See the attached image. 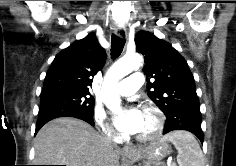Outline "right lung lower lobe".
Returning <instances> with one entry per match:
<instances>
[{
    "mask_svg": "<svg viewBox=\"0 0 236 166\" xmlns=\"http://www.w3.org/2000/svg\"><path fill=\"white\" fill-rule=\"evenodd\" d=\"M74 117V118H78L81 120L86 121L87 123H89L90 125L94 126V122L92 119V116L82 112V111H77V110H68L65 111L63 113H59V114H54V115H48V116H44V117H40L37 121V125H36V130H35V134L39 131V129L46 124L48 121L58 118V117Z\"/></svg>",
    "mask_w": 236,
    "mask_h": 166,
    "instance_id": "obj_1",
    "label": "right lung lower lobe"
}]
</instances>
